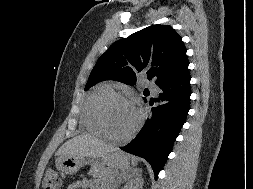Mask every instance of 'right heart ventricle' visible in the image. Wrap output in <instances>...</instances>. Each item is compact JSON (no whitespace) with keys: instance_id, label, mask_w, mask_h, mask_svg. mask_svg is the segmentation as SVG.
I'll return each instance as SVG.
<instances>
[{"instance_id":"obj_1","label":"right heart ventricle","mask_w":253,"mask_h":189,"mask_svg":"<svg viewBox=\"0 0 253 189\" xmlns=\"http://www.w3.org/2000/svg\"><path fill=\"white\" fill-rule=\"evenodd\" d=\"M112 93L113 89L109 85L103 84L94 89L84 101L81 110V122L88 132L95 135H103L96 119L95 110L99 101Z\"/></svg>"}]
</instances>
